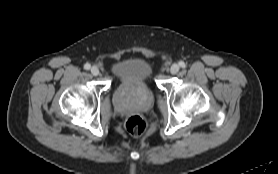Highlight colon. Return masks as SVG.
Returning a JSON list of instances; mask_svg holds the SVG:
<instances>
[{
	"mask_svg": "<svg viewBox=\"0 0 278 174\" xmlns=\"http://www.w3.org/2000/svg\"><path fill=\"white\" fill-rule=\"evenodd\" d=\"M147 126L146 119L140 114H132L125 120V127L133 135L142 134Z\"/></svg>",
	"mask_w": 278,
	"mask_h": 174,
	"instance_id": "colon-1",
	"label": "colon"
}]
</instances>
